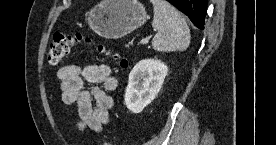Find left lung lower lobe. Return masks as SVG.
Segmentation results:
<instances>
[{
    "instance_id": "0a47b994",
    "label": "left lung lower lobe",
    "mask_w": 276,
    "mask_h": 145,
    "mask_svg": "<svg viewBox=\"0 0 276 145\" xmlns=\"http://www.w3.org/2000/svg\"><path fill=\"white\" fill-rule=\"evenodd\" d=\"M180 11L185 13L193 24L199 29H204L207 13V0H167Z\"/></svg>"
}]
</instances>
